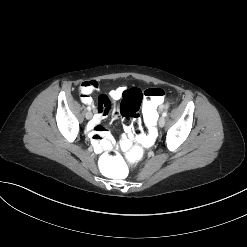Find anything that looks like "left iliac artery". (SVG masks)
I'll use <instances>...</instances> for the list:
<instances>
[{"instance_id":"obj_1","label":"left iliac artery","mask_w":247,"mask_h":247,"mask_svg":"<svg viewBox=\"0 0 247 247\" xmlns=\"http://www.w3.org/2000/svg\"><path fill=\"white\" fill-rule=\"evenodd\" d=\"M162 116L166 117L167 116V112H163Z\"/></svg>"}]
</instances>
